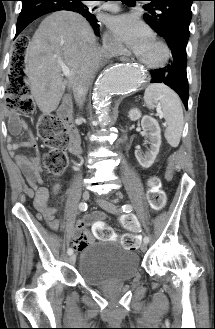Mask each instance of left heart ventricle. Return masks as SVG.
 Listing matches in <instances>:
<instances>
[{"label":"left heart ventricle","instance_id":"left-heart-ventricle-1","mask_svg":"<svg viewBox=\"0 0 215 329\" xmlns=\"http://www.w3.org/2000/svg\"><path fill=\"white\" fill-rule=\"evenodd\" d=\"M139 56L145 61L154 62L161 57L160 49L152 42L151 45L139 53Z\"/></svg>","mask_w":215,"mask_h":329}]
</instances>
